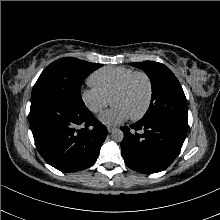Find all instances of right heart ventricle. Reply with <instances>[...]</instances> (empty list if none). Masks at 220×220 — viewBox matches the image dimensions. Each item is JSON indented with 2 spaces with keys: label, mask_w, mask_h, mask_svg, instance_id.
<instances>
[{
  "label": "right heart ventricle",
  "mask_w": 220,
  "mask_h": 220,
  "mask_svg": "<svg viewBox=\"0 0 220 220\" xmlns=\"http://www.w3.org/2000/svg\"><path fill=\"white\" fill-rule=\"evenodd\" d=\"M133 72L132 68L124 66L103 67L90 76L89 82L110 98L114 90Z\"/></svg>",
  "instance_id": "1"
}]
</instances>
